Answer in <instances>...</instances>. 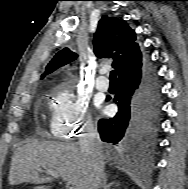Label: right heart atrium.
Returning <instances> with one entry per match:
<instances>
[{"label": "right heart atrium", "instance_id": "d8ad5b80", "mask_svg": "<svg viewBox=\"0 0 188 189\" xmlns=\"http://www.w3.org/2000/svg\"><path fill=\"white\" fill-rule=\"evenodd\" d=\"M51 132L57 138H77L94 129L86 100L67 87H58L53 95Z\"/></svg>", "mask_w": 188, "mask_h": 189}]
</instances>
